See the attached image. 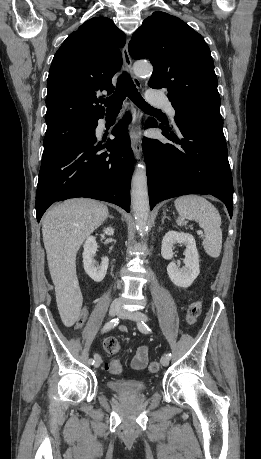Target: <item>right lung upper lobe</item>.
Segmentation results:
<instances>
[{"label":"right lung upper lobe","mask_w":261,"mask_h":459,"mask_svg":"<svg viewBox=\"0 0 261 459\" xmlns=\"http://www.w3.org/2000/svg\"><path fill=\"white\" fill-rule=\"evenodd\" d=\"M125 35L105 17L92 18L73 32L56 52L47 81V127L65 120L104 116L100 93H112V77L122 65L118 48Z\"/></svg>","instance_id":"right-lung-upper-lobe-1"}]
</instances>
